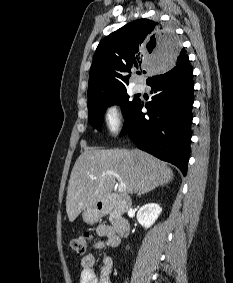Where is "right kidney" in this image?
I'll list each match as a JSON object with an SVG mask.
<instances>
[{
  "label": "right kidney",
  "mask_w": 233,
  "mask_h": 283,
  "mask_svg": "<svg viewBox=\"0 0 233 283\" xmlns=\"http://www.w3.org/2000/svg\"><path fill=\"white\" fill-rule=\"evenodd\" d=\"M162 208L156 203H149L142 206L137 213L138 222L144 227L149 228L157 220Z\"/></svg>",
  "instance_id": "ca27d5eb"
}]
</instances>
